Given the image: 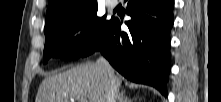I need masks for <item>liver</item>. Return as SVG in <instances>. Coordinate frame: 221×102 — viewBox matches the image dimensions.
Returning a JSON list of instances; mask_svg holds the SVG:
<instances>
[{"mask_svg": "<svg viewBox=\"0 0 221 102\" xmlns=\"http://www.w3.org/2000/svg\"><path fill=\"white\" fill-rule=\"evenodd\" d=\"M108 80L109 76L104 67L97 63L82 64L45 78L35 102H69L68 98L81 97L89 102H106ZM115 80L119 89L122 81L117 76Z\"/></svg>", "mask_w": 221, "mask_h": 102, "instance_id": "liver-1", "label": "liver"}]
</instances>
